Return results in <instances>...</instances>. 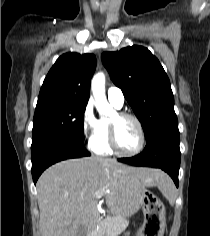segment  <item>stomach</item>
<instances>
[{
  "instance_id": "0dacf381",
  "label": "stomach",
  "mask_w": 210,
  "mask_h": 236,
  "mask_svg": "<svg viewBox=\"0 0 210 236\" xmlns=\"http://www.w3.org/2000/svg\"><path fill=\"white\" fill-rule=\"evenodd\" d=\"M144 222L137 236H163L166 228L165 209L159 198L148 191L143 190L140 197Z\"/></svg>"
}]
</instances>
